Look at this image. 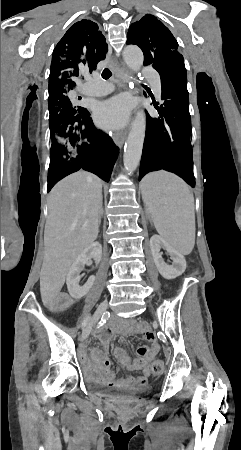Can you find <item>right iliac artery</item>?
<instances>
[{
    "mask_svg": "<svg viewBox=\"0 0 241 450\" xmlns=\"http://www.w3.org/2000/svg\"><path fill=\"white\" fill-rule=\"evenodd\" d=\"M89 320H90V317H87V318L83 321L82 327H85V326L87 325V323H88Z\"/></svg>",
    "mask_w": 241,
    "mask_h": 450,
    "instance_id": "1",
    "label": "right iliac artery"
}]
</instances>
